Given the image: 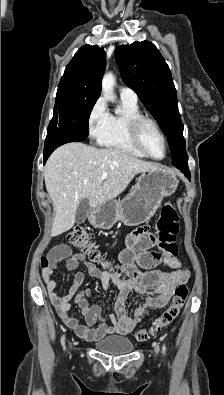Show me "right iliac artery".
I'll return each mask as SVG.
<instances>
[{
  "label": "right iliac artery",
  "instance_id": "1",
  "mask_svg": "<svg viewBox=\"0 0 224 395\" xmlns=\"http://www.w3.org/2000/svg\"><path fill=\"white\" fill-rule=\"evenodd\" d=\"M65 336L63 335V337H62V340H61V344H62V346H64V343H65Z\"/></svg>",
  "mask_w": 224,
  "mask_h": 395
}]
</instances>
